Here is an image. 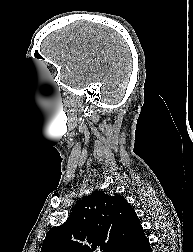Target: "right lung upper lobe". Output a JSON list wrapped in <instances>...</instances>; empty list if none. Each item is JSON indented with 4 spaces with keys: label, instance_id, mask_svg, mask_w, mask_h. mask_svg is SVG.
<instances>
[{
    "label": "right lung upper lobe",
    "instance_id": "cb5924a9",
    "mask_svg": "<svg viewBox=\"0 0 193 252\" xmlns=\"http://www.w3.org/2000/svg\"><path fill=\"white\" fill-rule=\"evenodd\" d=\"M141 229L124 197L94 191L63 225L48 231L41 252H122Z\"/></svg>",
    "mask_w": 193,
    "mask_h": 252
}]
</instances>
